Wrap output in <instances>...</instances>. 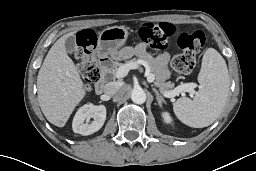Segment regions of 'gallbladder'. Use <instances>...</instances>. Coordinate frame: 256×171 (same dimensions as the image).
<instances>
[{
  "instance_id": "gallbladder-1",
  "label": "gallbladder",
  "mask_w": 256,
  "mask_h": 171,
  "mask_svg": "<svg viewBox=\"0 0 256 171\" xmlns=\"http://www.w3.org/2000/svg\"><path fill=\"white\" fill-rule=\"evenodd\" d=\"M77 49L75 36H69L65 41V50L68 53H73Z\"/></svg>"
}]
</instances>
